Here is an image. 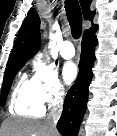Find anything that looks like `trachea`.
<instances>
[{"label":"trachea","mask_w":117,"mask_h":136,"mask_svg":"<svg viewBox=\"0 0 117 136\" xmlns=\"http://www.w3.org/2000/svg\"><path fill=\"white\" fill-rule=\"evenodd\" d=\"M65 10L72 36L78 39L82 33V12L78 0H65Z\"/></svg>","instance_id":"trachea-1"}]
</instances>
